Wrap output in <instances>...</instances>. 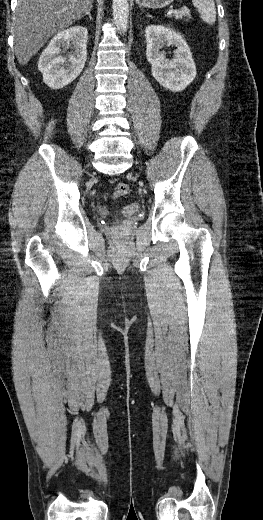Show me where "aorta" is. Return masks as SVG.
I'll use <instances>...</instances> for the list:
<instances>
[{
  "label": "aorta",
  "instance_id": "762f6f07",
  "mask_svg": "<svg viewBox=\"0 0 263 520\" xmlns=\"http://www.w3.org/2000/svg\"><path fill=\"white\" fill-rule=\"evenodd\" d=\"M113 20L117 30L124 33L128 27L129 5L128 0H113Z\"/></svg>",
  "mask_w": 263,
  "mask_h": 520
}]
</instances>
